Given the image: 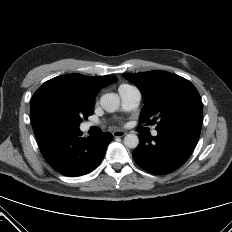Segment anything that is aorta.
<instances>
[{
    "instance_id": "1",
    "label": "aorta",
    "mask_w": 232,
    "mask_h": 232,
    "mask_svg": "<svg viewBox=\"0 0 232 232\" xmlns=\"http://www.w3.org/2000/svg\"><path fill=\"white\" fill-rule=\"evenodd\" d=\"M101 107L109 112L113 113L118 110L120 106V98L116 93H107L100 98ZM139 144V138L135 134H127L124 137V145L128 148L134 149Z\"/></svg>"
}]
</instances>
